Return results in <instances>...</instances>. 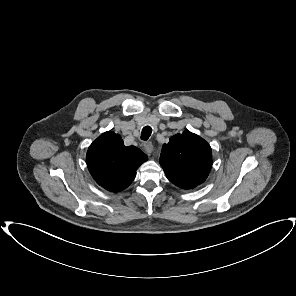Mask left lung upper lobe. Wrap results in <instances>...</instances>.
I'll list each match as a JSON object with an SVG mask.
<instances>
[{
  "label": "left lung upper lobe",
  "instance_id": "5c2ea615",
  "mask_svg": "<svg viewBox=\"0 0 296 296\" xmlns=\"http://www.w3.org/2000/svg\"><path fill=\"white\" fill-rule=\"evenodd\" d=\"M159 162L170 182L182 189H192L208 177L212 151L208 142L185 130L163 145Z\"/></svg>",
  "mask_w": 296,
  "mask_h": 296
}]
</instances>
